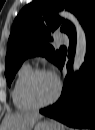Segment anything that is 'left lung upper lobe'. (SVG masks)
Returning a JSON list of instances; mask_svg holds the SVG:
<instances>
[{
  "instance_id": "5c2ea615",
  "label": "left lung upper lobe",
  "mask_w": 95,
  "mask_h": 130,
  "mask_svg": "<svg viewBox=\"0 0 95 130\" xmlns=\"http://www.w3.org/2000/svg\"><path fill=\"white\" fill-rule=\"evenodd\" d=\"M74 13L81 24L95 12L94 0H34L25 6L14 20L6 55L5 76L8 85L22 62L31 56H45L57 64L61 53L49 44L54 30L75 33L71 22L58 17V10Z\"/></svg>"
}]
</instances>
